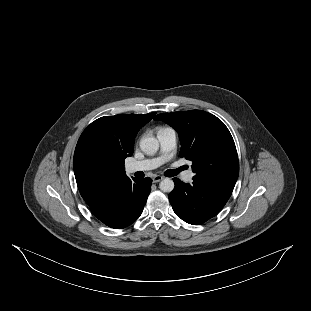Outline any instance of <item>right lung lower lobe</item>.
<instances>
[{
	"label": "right lung lower lobe",
	"mask_w": 311,
	"mask_h": 311,
	"mask_svg": "<svg viewBox=\"0 0 311 311\" xmlns=\"http://www.w3.org/2000/svg\"><path fill=\"white\" fill-rule=\"evenodd\" d=\"M152 179H131L100 195L89 205L92 213L111 228L132 224L142 213L151 191Z\"/></svg>",
	"instance_id": "98d812e1"
}]
</instances>
